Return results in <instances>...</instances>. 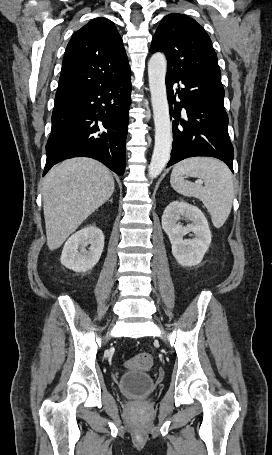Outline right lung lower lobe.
I'll use <instances>...</instances> for the list:
<instances>
[{
  "instance_id": "right-lung-lower-lobe-1",
  "label": "right lung lower lobe",
  "mask_w": 272,
  "mask_h": 455,
  "mask_svg": "<svg viewBox=\"0 0 272 455\" xmlns=\"http://www.w3.org/2000/svg\"><path fill=\"white\" fill-rule=\"evenodd\" d=\"M130 76L55 100L43 176L56 163L78 156L97 159L123 175Z\"/></svg>"
}]
</instances>
